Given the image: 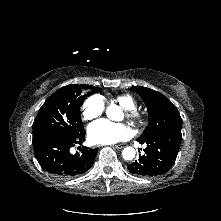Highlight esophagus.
<instances>
[{
	"mask_svg": "<svg viewBox=\"0 0 221 221\" xmlns=\"http://www.w3.org/2000/svg\"><path fill=\"white\" fill-rule=\"evenodd\" d=\"M126 146V144H117V145H113L112 147L114 148V149H122V148H124Z\"/></svg>",
	"mask_w": 221,
	"mask_h": 221,
	"instance_id": "obj_1",
	"label": "esophagus"
}]
</instances>
